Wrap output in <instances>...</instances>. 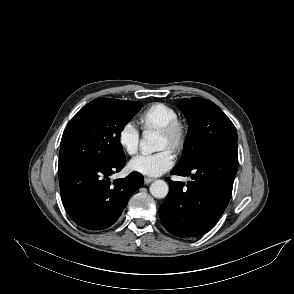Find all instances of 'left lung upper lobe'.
Segmentation results:
<instances>
[{"mask_svg":"<svg viewBox=\"0 0 294 294\" xmlns=\"http://www.w3.org/2000/svg\"><path fill=\"white\" fill-rule=\"evenodd\" d=\"M178 108L189 125L184 150L176 168L185 169L201 159L214 147L237 142L236 128L222 110L210 100L184 98Z\"/></svg>","mask_w":294,"mask_h":294,"instance_id":"1","label":"left lung upper lobe"}]
</instances>
